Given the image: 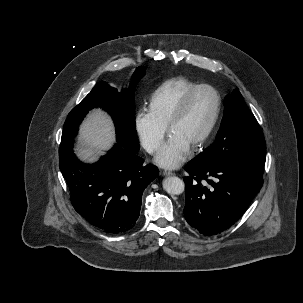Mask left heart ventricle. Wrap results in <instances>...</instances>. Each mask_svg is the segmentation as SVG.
<instances>
[{"label": "left heart ventricle", "mask_w": 303, "mask_h": 303, "mask_svg": "<svg viewBox=\"0 0 303 303\" xmlns=\"http://www.w3.org/2000/svg\"><path fill=\"white\" fill-rule=\"evenodd\" d=\"M216 107V97L208 89L200 90L192 98L183 117L171 132L178 134L192 146L208 127Z\"/></svg>", "instance_id": "left-heart-ventricle-1"}]
</instances>
